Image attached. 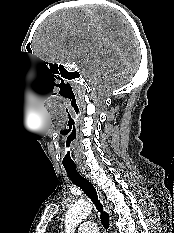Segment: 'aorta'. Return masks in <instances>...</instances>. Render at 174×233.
Instances as JSON below:
<instances>
[{"label": "aorta", "instance_id": "1", "mask_svg": "<svg viewBox=\"0 0 174 233\" xmlns=\"http://www.w3.org/2000/svg\"><path fill=\"white\" fill-rule=\"evenodd\" d=\"M91 212V205L87 202H76L66 212L65 232L75 233L77 225Z\"/></svg>", "mask_w": 174, "mask_h": 233}]
</instances>
